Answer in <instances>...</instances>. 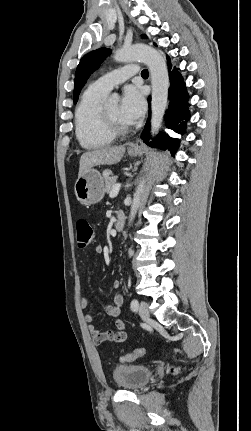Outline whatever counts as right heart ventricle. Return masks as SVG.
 I'll list each match as a JSON object with an SVG mask.
<instances>
[{"mask_svg":"<svg viewBox=\"0 0 251 431\" xmlns=\"http://www.w3.org/2000/svg\"><path fill=\"white\" fill-rule=\"evenodd\" d=\"M104 93L92 85L81 96L75 110V132L80 145L86 149L104 147L113 142L115 136L103 125L101 101Z\"/></svg>","mask_w":251,"mask_h":431,"instance_id":"obj_1","label":"right heart ventricle"}]
</instances>
